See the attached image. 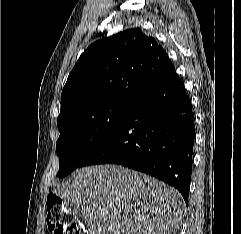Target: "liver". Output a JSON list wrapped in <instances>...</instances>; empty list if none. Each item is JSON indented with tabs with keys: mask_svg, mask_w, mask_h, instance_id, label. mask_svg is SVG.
Instances as JSON below:
<instances>
[{
	"mask_svg": "<svg viewBox=\"0 0 241 234\" xmlns=\"http://www.w3.org/2000/svg\"><path fill=\"white\" fill-rule=\"evenodd\" d=\"M55 193L82 217L89 234H172L184 211L173 187L112 164L77 169Z\"/></svg>",
	"mask_w": 241,
	"mask_h": 234,
	"instance_id": "6515ba94",
	"label": "liver"
}]
</instances>
